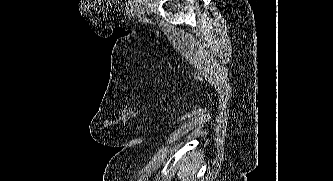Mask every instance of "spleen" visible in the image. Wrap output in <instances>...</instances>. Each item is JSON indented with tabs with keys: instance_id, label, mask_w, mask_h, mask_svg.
<instances>
[{
	"instance_id": "obj_1",
	"label": "spleen",
	"mask_w": 333,
	"mask_h": 181,
	"mask_svg": "<svg viewBox=\"0 0 333 181\" xmlns=\"http://www.w3.org/2000/svg\"><path fill=\"white\" fill-rule=\"evenodd\" d=\"M177 169V176L180 181H192V178L196 173L193 163L186 160L180 161L177 165Z\"/></svg>"
}]
</instances>
